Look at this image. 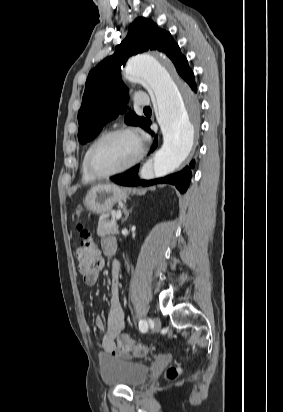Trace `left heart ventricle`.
Here are the masks:
<instances>
[{
  "label": "left heart ventricle",
  "mask_w": 283,
  "mask_h": 412,
  "mask_svg": "<svg viewBox=\"0 0 283 412\" xmlns=\"http://www.w3.org/2000/svg\"><path fill=\"white\" fill-rule=\"evenodd\" d=\"M138 139L130 134L114 136L94 152L92 164L96 171L107 173L130 163L139 151Z\"/></svg>",
  "instance_id": "left-heart-ventricle-1"
}]
</instances>
